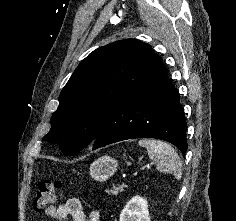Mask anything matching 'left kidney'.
<instances>
[{
	"instance_id": "left-kidney-1",
	"label": "left kidney",
	"mask_w": 236,
	"mask_h": 221,
	"mask_svg": "<svg viewBox=\"0 0 236 221\" xmlns=\"http://www.w3.org/2000/svg\"><path fill=\"white\" fill-rule=\"evenodd\" d=\"M120 221H150L147 200L134 196L122 210Z\"/></svg>"
}]
</instances>
